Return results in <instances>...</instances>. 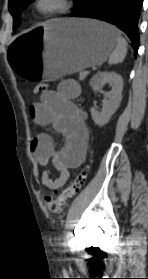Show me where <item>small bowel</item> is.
Masks as SVG:
<instances>
[{
	"instance_id": "c3829d8e",
	"label": "small bowel",
	"mask_w": 148,
	"mask_h": 279,
	"mask_svg": "<svg viewBox=\"0 0 148 279\" xmlns=\"http://www.w3.org/2000/svg\"><path fill=\"white\" fill-rule=\"evenodd\" d=\"M80 85L75 80L62 81L56 90L42 94L40 101L29 107V115L40 126L51 125L64 137V145L57 150L52 137L40 133L31 142V152L38 166L50 163L59 172L52 177L50 170L40 173V182L49 190L61 188L69 179V169L77 168L85 159L88 146L86 115L73 101L80 95Z\"/></svg>"
}]
</instances>
